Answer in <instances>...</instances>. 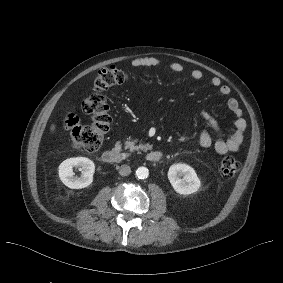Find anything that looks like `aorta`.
Returning a JSON list of instances; mask_svg holds the SVG:
<instances>
[{"label": "aorta", "instance_id": "1", "mask_svg": "<svg viewBox=\"0 0 283 283\" xmlns=\"http://www.w3.org/2000/svg\"><path fill=\"white\" fill-rule=\"evenodd\" d=\"M149 175V170L146 167H139L136 170V177L139 179H145Z\"/></svg>", "mask_w": 283, "mask_h": 283}]
</instances>
